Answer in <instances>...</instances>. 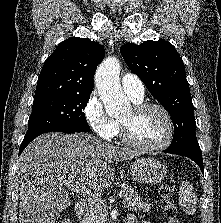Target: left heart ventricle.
Segmentation results:
<instances>
[{
  "instance_id": "1",
  "label": "left heart ventricle",
  "mask_w": 221,
  "mask_h": 223,
  "mask_svg": "<svg viewBox=\"0 0 221 223\" xmlns=\"http://www.w3.org/2000/svg\"><path fill=\"white\" fill-rule=\"evenodd\" d=\"M120 121L129 127L131 138L141 144L157 145L167 134V122L163 114L155 109L135 112L127 111Z\"/></svg>"
}]
</instances>
